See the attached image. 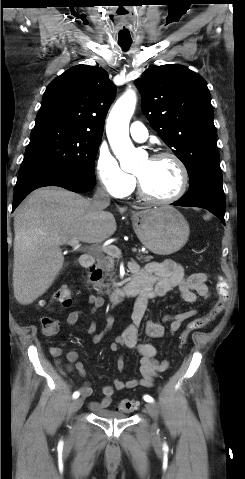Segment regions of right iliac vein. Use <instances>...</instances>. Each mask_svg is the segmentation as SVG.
<instances>
[{"label":"right iliac vein","instance_id":"right-iliac-vein-1","mask_svg":"<svg viewBox=\"0 0 245 479\" xmlns=\"http://www.w3.org/2000/svg\"><path fill=\"white\" fill-rule=\"evenodd\" d=\"M83 400L81 398L75 399L70 407L71 413H76L82 406Z\"/></svg>","mask_w":245,"mask_h":479}]
</instances>
